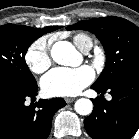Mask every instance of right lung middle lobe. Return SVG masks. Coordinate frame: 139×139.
<instances>
[{
  "instance_id": "1",
  "label": "right lung middle lobe",
  "mask_w": 139,
  "mask_h": 139,
  "mask_svg": "<svg viewBox=\"0 0 139 139\" xmlns=\"http://www.w3.org/2000/svg\"><path fill=\"white\" fill-rule=\"evenodd\" d=\"M42 34L32 27L6 24L0 26V81L24 88L35 87L25 54L29 46Z\"/></svg>"
}]
</instances>
